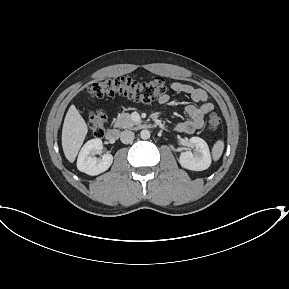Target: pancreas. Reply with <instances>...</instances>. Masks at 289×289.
Wrapping results in <instances>:
<instances>
[{
	"label": "pancreas",
	"instance_id": "pancreas-1",
	"mask_svg": "<svg viewBox=\"0 0 289 289\" xmlns=\"http://www.w3.org/2000/svg\"><path fill=\"white\" fill-rule=\"evenodd\" d=\"M136 124L138 123L131 118L129 113H121L118 115L114 126L117 128H132Z\"/></svg>",
	"mask_w": 289,
	"mask_h": 289
}]
</instances>
